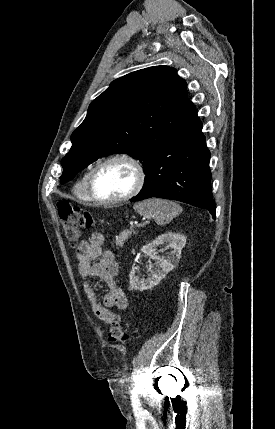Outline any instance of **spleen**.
<instances>
[{
  "label": "spleen",
  "instance_id": "1",
  "mask_svg": "<svg viewBox=\"0 0 275 429\" xmlns=\"http://www.w3.org/2000/svg\"><path fill=\"white\" fill-rule=\"evenodd\" d=\"M133 209L144 218H153L157 224L165 225L179 215L182 207L170 200L151 198L137 203Z\"/></svg>",
  "mask_w": 275,
  "mask_h": 429
}]
</instances>
